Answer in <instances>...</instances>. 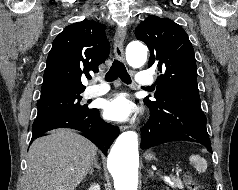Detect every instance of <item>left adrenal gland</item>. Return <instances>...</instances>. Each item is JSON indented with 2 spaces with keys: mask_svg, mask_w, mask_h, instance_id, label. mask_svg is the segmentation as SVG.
<instances>
[{
  "mask_svg": "<svg viewBox=\"0 0 238 190\" xmlns=\"http://www.w3.org/2000/svg\"><path fill=\"white\" fill-rule=\"evenodd\" d=\"M153 176V172L149 170V177Z\"/></svg>",
  "mask_w": 238,
  "mask_h": 190,
  "instance_id": "left-adrenal-gland-1",
  "label": "left adrenal gland"
}]
</instances>
